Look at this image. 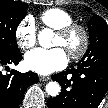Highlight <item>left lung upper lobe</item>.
<instances>
[{
    "label": "left lung upper lobe",
    "instance_id": "1",
    "mask_svg": "<svg viewBox=\"0 0 108 108\" xmlns=\"http://www.w3.org/2000/svg\"><path fill=\"white\" fill-rule=\"evenodd\" d=\"M90 11V8H86ZM88 31L90 37L89 48L78 65H87L93 63L104 62L108 64V25L98 15L92 16L88 23ZM76 91L70 90L65 94L66 99L75 100Z\"/></svg>",
    "mask_w": 108,
    "mask_h": 108
}]
</instances>
